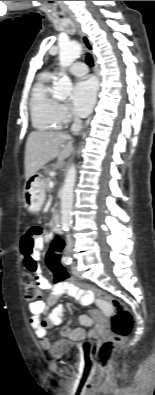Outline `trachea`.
<instances>
[{
    "label": "trachea",
    "instance_id": "trachea-1",
    "mask_svg": "<svg viewBox=\"0 0 155 395\" xmlns=\"http://www.w3.org/2000/svg\"><path fill=\"white\" fill-rule=\"evenodd\" d=\"M86 63H87L89 66H93V58H92V56H91L90 54H87V55H86Z\"/></svg>",
    "mask_w": 155,
    "mask_h": 395
}]
</instances>
